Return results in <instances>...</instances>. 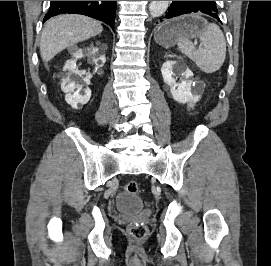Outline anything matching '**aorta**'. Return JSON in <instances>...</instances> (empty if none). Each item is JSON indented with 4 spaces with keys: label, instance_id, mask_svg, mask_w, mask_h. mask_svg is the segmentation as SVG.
<instances>
[{
    "label": "aorta",
    "instance_id": "1",
    "mask_svg": "<svg viewBox=\"0 0 271 266\" xmlns=\"http://www.w3.org/2000/svg\"><path fill=\"white\" fill-rule=\"evenodd\" d=\"M169 1H151L149 11L152 17H160L167 10Z\"/></svg>",
    "mask_w": 271,
    "mask_h": 266
}]
</instances>
